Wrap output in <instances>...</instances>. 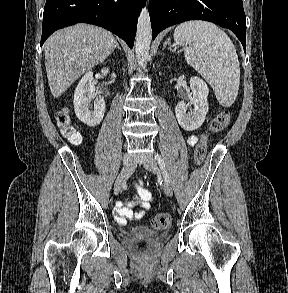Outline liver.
I'll list each match as a JSON object with an SVG mask.
<instances>
[{
    "label": "liver",
    "mask_w": 288,
    "mask_h": 293,
    "mask_svg": "<svg viewBox=\"0 0 288 293\" xmlns=\"http://www.w3.org/2000/svg\"><path fill=\"white\" fill-rule=\"evenodd\" d=\"M115 43L109 31L83 23L53 33L45 42V67L53 97H60L82 74L103 62Z\"/></svg>",
    "instance_id": "6515ba94"
}]
</instances>
